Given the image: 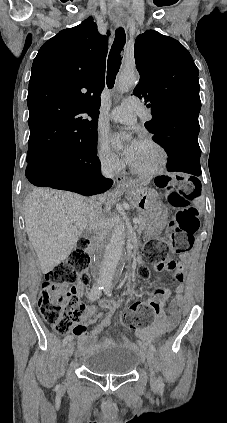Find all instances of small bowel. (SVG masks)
Segmentation results:
<instances>
[{"label":"small bowel","instance_id":"obj_1","mask_svg":"<svg viewBox=\"0 0 227 423\" xmlns=\"http://www.w3.org/2000/svg\"><path fill=\"white\" fill-rule=\"evenodd\" d=\"M83 293V289L79 288V294ZM183 297L182 288L177 289L175 298L169 304L170 316H166L163 312L155 316L151 325L138 329L136 335L140 339V346L146 347L150 341L157 337H161L172 331L180 318ZM99 306L106 308L108 313L102 316L98 311L97 305H91L85 309L84 318L81 323L76 325L73 329V334L77 337L79 350L86 352L89 350L88 343L90 340L96 339L111 323V316L113 312L120 307V302L114 300H101ZM100 318V323L88 334L87 326L94 323ZM110 342V340H106ZM131 346H136L128 342Z\"/></svg>","mask_w":227,"mask_h":423}]
</instances>
